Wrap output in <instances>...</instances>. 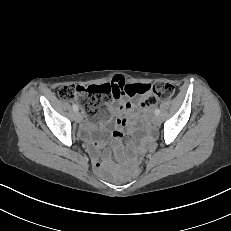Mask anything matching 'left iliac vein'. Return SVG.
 <instances>
[{"mask_svg": "<svg viewBox=\"0 0 231 231\" xmlns=\"http://www.w3.org/2000/svg\"><path fill=\"white\" fill-rule=\"evenodd\" d=\"M153 125L158 126L160 124V117L158 115H154L151 119Z\"/></svg>", "mask_w": 231, "mask_h": 231, "instance_id": "4c4485c4", "label": "left iliac vein"}]
</instances>
